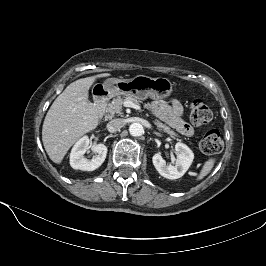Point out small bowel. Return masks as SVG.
<instances>
[{"label":"small bowel","mask_w":266,"mask_h":266,"mask_svg":"<svg viewBox=\"0 0 266 266\" xmlns=\"http://www.w3.org/2000/svg\"><path fill=\"white\" fill-rule=\"evenodd\" d=\"M153 113L170 127L185 136L193 135V128L183 118V105L177 99H172L169 104L155 101L151 105Z\"/></svg>","instance_id":"c3829d8e"}]
</instances>
